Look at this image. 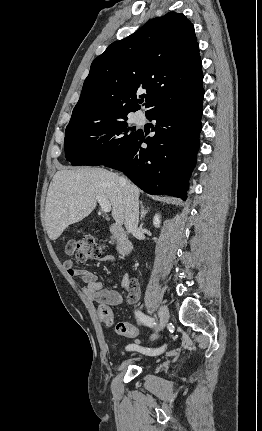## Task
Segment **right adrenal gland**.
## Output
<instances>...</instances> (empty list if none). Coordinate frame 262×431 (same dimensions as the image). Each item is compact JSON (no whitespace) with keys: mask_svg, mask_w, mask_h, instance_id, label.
I'll return each instance as SVG.
<instances>
[{"mask_svg":"<svg viewBox=\"0 0 262 431\" xmlns=\"http://www.w3.org/2000/svg\"><path fill=\"white\" fill-rule=\"evenodd\" d=\"M140 207H141L140 220H143V219H144V216H145V214L148 212L149 208H148V209H145V208H144V205H143V203H142V201H140Z\"/></svg>","mask_w":262,"mask_h":431,"instance_id":"2a0ac1e0","label":"right adrenal gland"}]
</instances>
